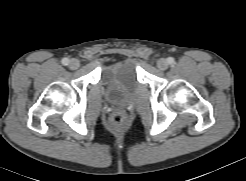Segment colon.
<instances>
[{
    "instance_id": "1",
    "label": "colon",
    "mask_w": 246,
    "mask_h": 181,
    "mask_svg": "<svg viewBox=\"0 0 246 181\" xmlns=\"http://www.w3.org/2000/svg\"><path fill=\"white\" fill-rule=\"evenodd\" d=\"M110 124L115 130H122L127 124V120L124 114L115 113L110 118Z\"/></svg>"
}]
</instances>
